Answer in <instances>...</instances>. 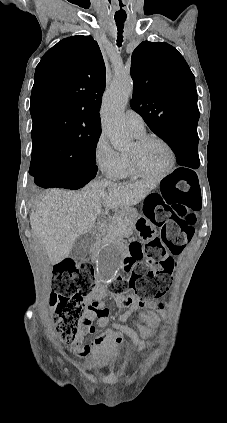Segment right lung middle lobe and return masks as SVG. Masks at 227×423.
<instances>
[{"label":"right lung middle lobe","instance_id":"obj_1","mask_svg":"<svg viewBox=\"0 0 227 423\" xmlns=\"http://www.w3.org/2000/svg\"><path fill=\"white\" fill-rule=\"evenodd\" d=\"M99 136L100 134L86 136L67 147L32 151L30 175L41 174L43 163L51 160H56L59 164H66L76 172L96 175L98 169L95 165V151Z\"/></svg>","mask_w":227,"mask_h":423}]
</instances>
